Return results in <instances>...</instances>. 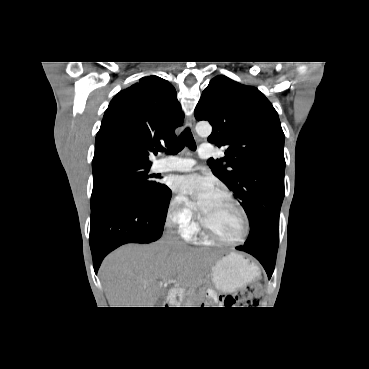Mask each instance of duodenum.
<instances>
[{"instance_id": "obj_1", "label": "duodenum", "mask_w": 369, "mask_h": 369, "mask_svg": "<svg viewBox=\"0 0 369 369\" xmlns=\"http://www.w3.org/2000/svg\"><path fill=\"white\" fill-rule=\"evenodd\" d=\"M173 297H174V294H173V292H171V293L169 294V299H173Z\"/></svg>"}]
</instances>
